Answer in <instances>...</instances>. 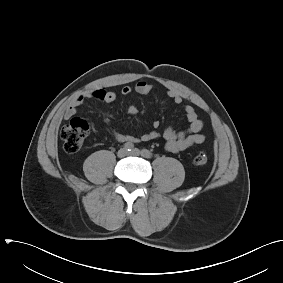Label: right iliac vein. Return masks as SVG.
Here are the masks:
<instances>
[{"label": "right iliac vein", "instance_id": "63e3f726", "mask_svg": "<svg viewBox=\"0 0 283 283\" xmlns=\"http://www.w3.org/2000/svg\"><path fill=\"white\" fill-rule=\"evenodd\" d=\"M127 154H128V152H127V150L125 148H121L117 152V156L120 157V158L125 157Z\"/></svg>", "mask_w": 283, "mask_h": 283}]
</instances>
